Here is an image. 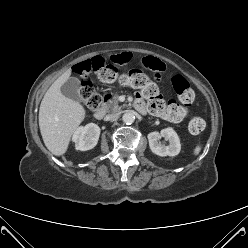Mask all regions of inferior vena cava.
<instances>
[{"mask_svg": "<svg viewBox=\"0 0 248 248\" xmlns=\"http://www.w3.org/2000/svg\"><path fill=\"white\" fill-rule=\"evenodd\" d=\"M117 117H118V114L111 113V114L106 115L104 117V120H106V121L115 120Z\"/></svg>", "mask_w": 248, "mask_h": 248, "instance_id": "inferior-vena-cava-1", "label": "inferior vena cava"}]
</instances>
